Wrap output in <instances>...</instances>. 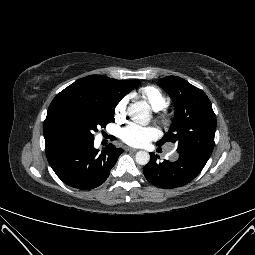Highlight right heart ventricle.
<instances>
[{"label":"right heart ventricle","instance_id":"right-heart-ventricle-1","mask_svg":"<svg viewBox=\"0 0 255 255\" xmlns=\"http://www.w3.org/2000/svg\"><path fill=\"white\" fill-rule=\"evenodd\" d=\"M138 96L146 101L154 110H161L169 103L165 94L159 88L151 85L141 88Z\"/></svg>","mask_w":255,"mask_h":255}]
</instances>
